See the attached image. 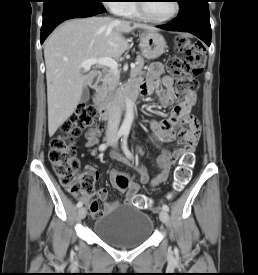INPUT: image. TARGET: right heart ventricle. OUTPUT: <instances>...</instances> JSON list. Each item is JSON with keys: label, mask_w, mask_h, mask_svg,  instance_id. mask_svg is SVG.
Wrapping results in <instances>:
<instances>
[{"label": "right heart ventricle", "mask_w": 258, "mask_h": 275, "mask_svg": "<svg viewBox=\"0 0 258 275\" xmlns=\"http://www.w3.org/2000/svg\"><path fill=\"white\" fill-rule=\"evenodd\" d=\"M127 2H135V1H127ZM118 14L124 15L129 18H136V19L141 18V15L138 12L135 3H126L122 8L121 13H118Z\"/></svg>", "instance_id": "obj_1"}]
</instances>
